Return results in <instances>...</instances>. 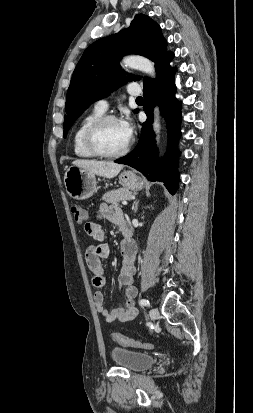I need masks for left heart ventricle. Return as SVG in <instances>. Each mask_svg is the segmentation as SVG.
<instances>
[{"label":"left heart ventricle","mask_w":253,"mask_h":413,"mask_svg":"<svg viewBox=\"0 0 253 413\" xmlns=\"http://www.w3.org/2000/svg\"><path fill=\"white\" fill-rule=\"evenodd\" d=\"M128 139L123 134L118 121H110L103 125L97 134V143L105 152H117L121 150Z\"/></svg>","instance_id":"b2bd125f"}]
</instances>
